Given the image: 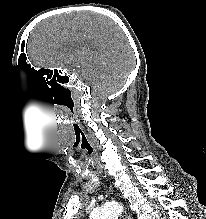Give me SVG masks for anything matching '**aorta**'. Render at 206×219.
I'll use <instances>...</instances> for the list:
<instances>
[{"instance_id":"762f6f07","label":"aorta","mask_w":206,"mask_h":219,"mask_svg":"<svg viewBox=\"0 0 206 219\" xmlns=\"http://www.w3.org/2000/svg\"><path fill=\"white\" fill-rule=\"evenodd\" d=\"M121 207L118 204L109 203L94 209L90 214V219H118Z\"/></svg>"}]
</instances>
